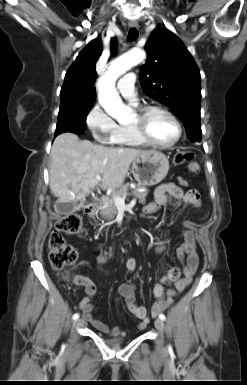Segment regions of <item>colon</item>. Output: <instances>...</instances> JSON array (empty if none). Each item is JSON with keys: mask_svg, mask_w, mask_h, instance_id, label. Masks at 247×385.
Returning <instances> with one entry per match:
<instances>
[{"mask_svg": "<svg viewBox=\"0 0 247 385\" xmlns=\"http://www.w3.org/2000/svg\"><path fill=\"white\" fill-rule=\"evenodd\" d=\"M174 163L176 165L188 164L189 170L194 174L200 173V166L194 162L192 152H179L175 155ZM82 233V220L78 214H68L56 220L54 228L49 235V260L52 267L58 272L61 279H68L70 268L77 261V252L65 240V235ZM74 283L80 286L84 282L77 276L73 279Z\"/></svg>", "mask_w": 247, "mask_h": 385, "instance_id": "1", "label": "colon"}]
</instances>
